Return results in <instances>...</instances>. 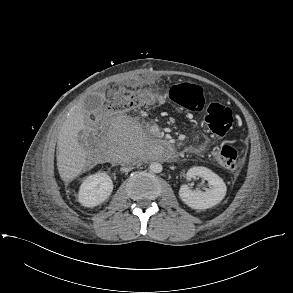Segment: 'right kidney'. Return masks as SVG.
I'll return each instance as SVG.
<instances>
[{"label":"right kidney","mask_w":293,"mask_h":293,"mask_svg":"<svg viewBox=\"0 0 293 293\" xmlns=\"http://www.w3.org/2000/svg\"><path fill=\"white\" fill-rule=\"evenodd\" d=\"M113 182L105 172H98L88 176L81 184L78 201L85 207H95L111 195Z\"/></svg>","instance_id":"1"}]
</instances>
